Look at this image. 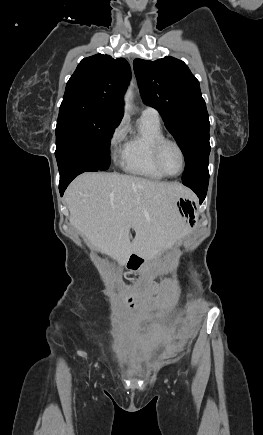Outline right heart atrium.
Instances as JSON below:
<instances>
[{"mask_svg": "<svg viewBox=\"0 0 263 435\" xmlns=\"http://www.w3.org/2000/svg\"><path fill=\"white\" fill-rule=\"evenodd\" d=\"M125 136V128L122 123H118L111 131L108 139L110 151L115 154L117 147L123 141Z\"/></svg>", "mask_w": 263, "mask_h": 435, "instance_id": "d8ad5b80", "label": "right heart atrium"}]
</instances>
